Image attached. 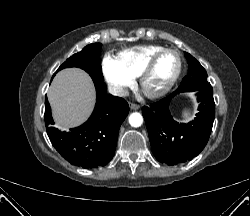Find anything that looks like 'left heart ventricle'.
<instances>
[{
	"instance_id": "left-heart-ventricle-1",
	"label": "left heart ventricle",
	"mask_w": 250,
	"mask_h": 216,
	"mask_svg": "<svg viewBox=\"0 0 250 216\" xmlns=\"http://www.w3.org/2000/svg\"><path fill=\"white\" fill-rule=\"evenodd\" d=\"M177 67L178 59L174 53L161 55L145 80V91L157 92L163 89L174 76Z\"/></svg>"
}]
</instances>
